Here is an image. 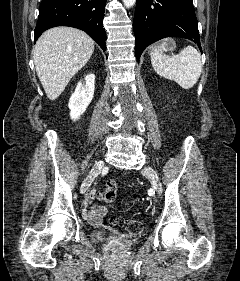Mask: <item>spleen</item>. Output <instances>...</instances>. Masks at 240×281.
Returning <instances> with one entry per match:
<instances>
[{"label":"spleen","instance_id":"3e777b00","mask_svg":"<svg viewBox=\"0 0 240 281\" xmlns=\"http://www.w3.org/2000/svg\"><path fill=\"white\" fill-rule=\"evenodd\" d=\"M168 42L162 41L152 47L150 56L155 72L171 81H175L183 89H191L202 72L200 53L192 46H187L177 55L163 54Z\"/></svg>","mask_w":240,"mask_h":281}]
</instances>
